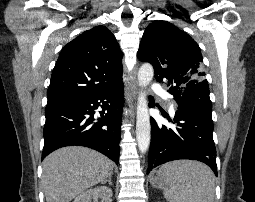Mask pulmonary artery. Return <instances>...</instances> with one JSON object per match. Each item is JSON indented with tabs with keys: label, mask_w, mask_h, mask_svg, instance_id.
<instances>
[{
	"label": "pulmonary artery",
	"mask_w": 255,
	"mask_h": 202,
	"mask_svg": "<svg viewBox=\"0 0 255 202\" xmlns=\"http://www.w3.org/2000/svg\"><path fill=\"white\" fill-rule=\"evenodd\" d=\"M152 90H153L155 93H157V94H164V90H163L162 87H161L160 85H158V84H154V85L152 86ZM167 106H168V108L170 109V111H172V112H174L175 109H176V104H175V102H173V101H171V100H169V101L167 102Z\"/></svg>",
	"instance_id": "e3ab8cb5"
}]
</instances>
